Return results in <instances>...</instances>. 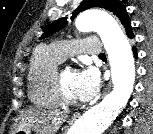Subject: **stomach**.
Instances as JSON below:
<instances>
[{
	"instance_id": "stomach-1",
	"label": "stomach",
	"mask_w": 153,
	"mask_h": 134,
	"mask_svg": "<svg viewBox=\"0 0 153 134\" xmlns=\"http://www.w3.org/2000/svg\"><path fill=\"white\" fill-rule=\"evenodd\" d=\"M13 134H32L31 129L28 128H17Z\"/></svg>"
}]
</instances>
